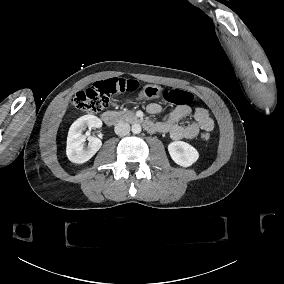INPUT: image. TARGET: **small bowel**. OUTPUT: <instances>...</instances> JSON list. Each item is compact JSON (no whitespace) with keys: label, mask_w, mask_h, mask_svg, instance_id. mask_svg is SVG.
Returning a JSON list of instances; mask_svg holds the SVG:
<instances>
[{"label":"small bowel","mask_w":284,"mask_h":284,"mask_svg":"<svg viewBox=\"0 0 284 284\" xmlns=\"http://www.w3.org/2000/svg\"><path fill=\"white\" fill-rule=\"evenodd\" d=\"M147 112L155 115L162 112L161 105L151 103L147 106ZM192 114L193 122L187 125H179L178 121ZM147 130L149 132L167 133L173 140L193 139L200 131L211 132L214 129V120L208 110L203 107L192 109L187 105H179L172 110L168 117L160 122H151Z\"/></svg>","instance_id":"1"}]
</instances>
